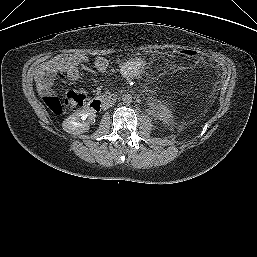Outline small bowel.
<instances>
[{"label": "small bowel", "mask_w": 257, "mask_h": 257, "mask_svg": "<svg viewBox=\"0 0 257 257\" xmlns=\"http://www.w3.org/2000/svg\"><path fill=\"white\" fill-rule=\"evenodd\" d=\"M87 61L82 54L70 56H59L42 64L36 74L37 88L44 98L53 95L52 83L57 78L76 81L79 77V66ZM110 66L106 57H98L95 60V67L99 72H105Z\"/></svg>", "instance_id": "1"}]
</instances>
